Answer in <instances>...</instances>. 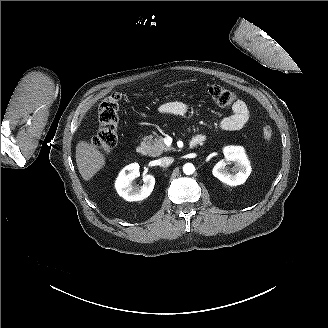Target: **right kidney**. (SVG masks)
<instances>
[{
	"label": "right kidney",
	"instance_id": "1",
	"mask_svg": "<svg viewBox=\"0 0 328 328\" xmlns=\"http://www.w3.org/2000/svg\"><path fill=\"white\" fill-rule=\"evenodd\" d=\"M140 176L138 164H131L121 171L117 181L116 189L120 197L128 202L140 201L151 195L156 180L151 174L143 177V187H137L133 180Z\"/></svg>",
	"mask_w": 328,
	"mask_h": 328
}]
</instances>
